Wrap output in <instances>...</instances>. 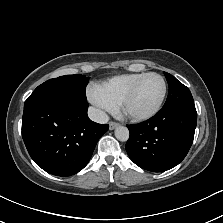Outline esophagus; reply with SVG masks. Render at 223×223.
Segmentation results:
<instances>
[{
    "mask_svg": "<svg viewBox=\"0 0 223 223\" xmlns=\"http://www.w3.org/2000/svg\"><path fill=\"white\" fill-rule=\"evenodd\" d=\"M117 126H119V123L118 122H110L109 123V129L110 130L115 129Z\"/></svg>",
    "mask_w": 223,
    "mask_h": 223,
    "instance_id": "esophagus-1",
    "label": "esophagus"
}]
</instances>
